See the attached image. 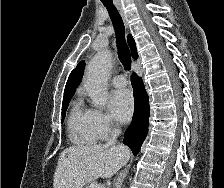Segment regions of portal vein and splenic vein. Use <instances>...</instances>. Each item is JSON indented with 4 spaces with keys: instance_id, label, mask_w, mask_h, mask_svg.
Returning <instances> with one entry per match:
<instances>
[{
    "instance_id": "18ae733b",
    "label": "portal vein and splenic vein",
    "mask_w": 224,
    "mask_h": 188,
    "mask_svg": "<svg viewBox=\"0 0 224 188\" xmlns=\"http://www.w3.org/2000/svg\"><path fill=\"white\" fill-rule=\"evenodd\" d=\"M91 188H102V186L98 185V184H93V185H91Z\"/></svg>"
}]
</instances>
